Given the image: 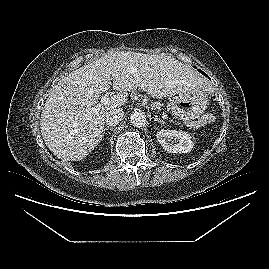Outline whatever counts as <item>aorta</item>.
Returning <instances> with one entry per match:
<instances>
[{
    "instance_id": "1",
    "label": "aorta",
    "mask_w": 269,
    "mask_h": 269,
    "mask_svg": "<svg viewBox=\"0 0 269 269\" xmlns=\"http://www.w3.org/2000/svg\"><path fill=\"white\" fill-rule=\"evenodd\" d=\"M130 123L135 127H142L146 124V115L140 111H134L130 115Z\"/></svg>"
}]
</instances>
